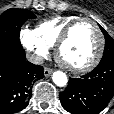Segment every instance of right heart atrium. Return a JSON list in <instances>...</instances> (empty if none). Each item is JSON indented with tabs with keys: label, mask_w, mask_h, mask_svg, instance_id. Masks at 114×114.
<instances>
[{
	"label": "right heart atrium",
	"mask_w": 114,
	"mask_h": 114,
	"mask_svg": "<svg viewBox=\"0 0 114 114\" xmlns=\"http://www.w3.org/2000/svg\"><path fill=\"white\" fill-rule=\"evenodd\" d=\"M20 41L22 45L32 54L36 61H41L49 54V48L40 42L31 30H21Z\"/></svg>",
	"instance_id": "right-heart-atrium-1"
}]
</instances>
